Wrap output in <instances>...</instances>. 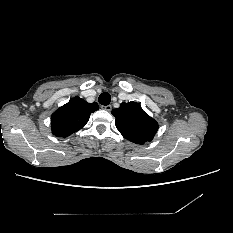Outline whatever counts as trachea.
Segmentation results:
<instances>
[{
	"mask_svg": "<svg viewBox=\"0 0 233 233\" xmlns=\"http://www.w3.org/2000/svg\"><path fill=\"white\" fill-rule=\"evenodd\" d=\"M98 101L101 105H109V103L111 102V96L109 93L103 92L102 94H100Z\"/></svg>",
	"mask_w": 233,
	"mask_h": 233,
	"instance_id": "trachea-1",
	"label": "trachea"
}]
</instances>
